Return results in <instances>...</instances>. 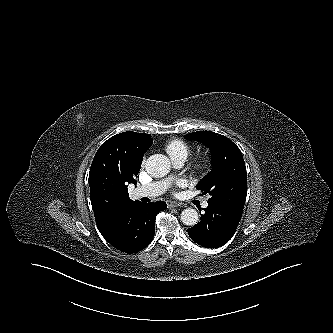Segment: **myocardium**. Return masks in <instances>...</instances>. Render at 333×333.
Returning a JSON list of instances; mask_svg holds the SVG:
<instances>
[{"instance_id":"myocardium-1","label":"myocardium","mask_w":333,"mask_h":333,"mask_svg":"<svg viewBox=\"0 0 333 333\" xmlns=\"http://www.w3.org/2000/svg\"><path fill=\"white\" fill-rule=\"evenodd\" d=\"M210 158L206 154L199 155L193 162V169L198 173H205L210 168Z\"/></svg>"}]
</instances>
